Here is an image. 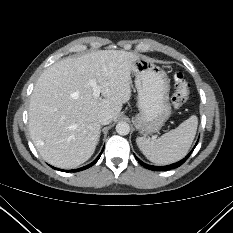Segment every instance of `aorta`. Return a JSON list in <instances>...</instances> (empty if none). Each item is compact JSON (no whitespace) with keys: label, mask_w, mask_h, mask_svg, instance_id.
I'll use <instances>...</instances> for the list:
<instances>
[{"label":"aorta","mask_w":233,"mask_h":233,"mask_svg":"<svg viewBox=\"0 0 233 233\" xmlns=\"http://www.w3.org/2000/svg\"><path fill=\"white\" fill-rule=\"evenodd\" d=\"M116 132L119 134V135H127L129 132H130V126L128 123L126 122H119L117 125H116Z\"/></svg>","instance_id":"aorta-1"}]
</instances>
